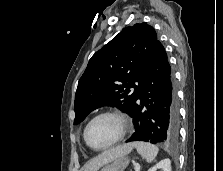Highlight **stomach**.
<instances>
[{"label":"stomach","mask_w":223,"mask_h":171,"mask_svg":"<svg viewBox=\"0 0 223 171\" xmlns=\"http://www.w3.org/2000/svg\"><path fill=\"white\" fill-rule=\"evenodd\" d=\"M128 164L129 158L124 155L115 159L113 163L104 166L100 171H124Z\"/></svg>","instance_id":"1"}]
</instances>
